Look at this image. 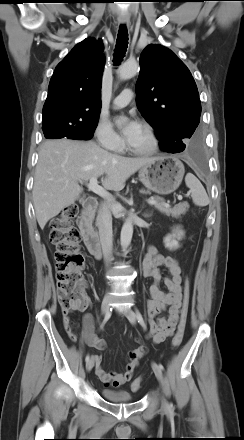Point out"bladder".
<instances>
[{"mask_svg":"<svg viewBox=\"0 0 244 440\" xmlns=\"http://www.w3.org/2000/svg\"><path fill=\"white\" fill-rule=\"evenodd\" d=\"M101 395L112 403H129L134 399V396L128 391H115L107 388L101 389Z\"/></svg>","mask_w":244,"mask_h":440,"instance_id":"bladder-1","label":"bladder"}]
</instances>
